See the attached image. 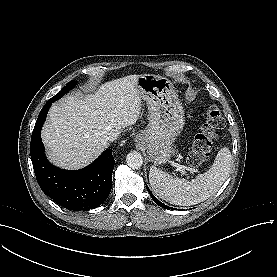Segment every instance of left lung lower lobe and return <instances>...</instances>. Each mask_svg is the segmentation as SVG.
Instances as JSON below:
<instances>
[{"label":"left lung lower lobe","mask_w":277,"mask_h":277,"mask_svg":"<svg viewBox=\"0 0 277 277\" xmlns=\"http://www.w3.org/2000/svg\"><path fill=\"white\" fill-rule=\"evenodd\" d=\"M147 189H148V192H149L150 196L152 197L153 201H154L157 205H159V206H161V207H163V208H165V209H169V207H167L165 204H163L162 202H160V201L151 193V191L149 190L148 187H147Z\"/></svg>","instance_id":"left-lung-lower-lobe-1"}]
</instances>
